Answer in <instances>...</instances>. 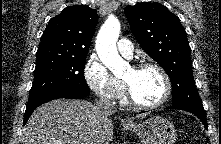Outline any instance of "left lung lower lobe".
<instances>
[{
  "label": "left lung lower lobe",
  "mask_w": 221,
  "mask_h": 144,
  "mask_svg": "<svg viewBox=\"0 0 221 144\" xmlns=\"http://www.w3.org/2000/svg\"><path fill=\"white\" fill-rule=\"evenodd\" d=\"M169 109L185 110L187 112L194 114L202 121L205 128L208 129V124H207V119H206V114H205L204 108L200 109V108H195V107H190V106H173L172 105L171 107H169Z\"/></svg>",
  "instance_id": "1"
}]
</instances>
